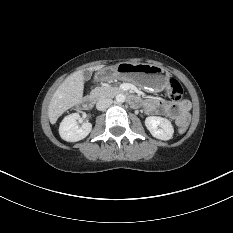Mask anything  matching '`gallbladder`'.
Here are the masks:
<instances>
[{
    "instance_id": "gallbladder-1",
    "label": "gallbladder",
    "mask_w": 233,
    "mask_h": 233,
    "mask_svg": "<svg viewBox=\"0 0 233 233\" xmlns=\"http://www.w3.org/2000/svg\"><path fill=\"white\" fill-rule=\"evenodd\" d=\"M91 76H92V72L91 71H89V70H84L83 71L84 80H86V81L90 80Z\"/></svg>"
}]
</instances>
